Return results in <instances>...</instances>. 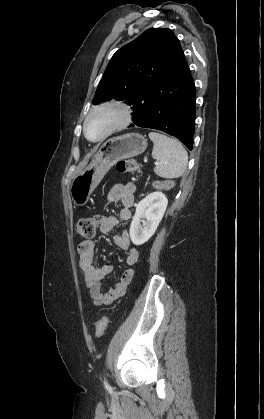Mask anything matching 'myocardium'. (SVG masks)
Listing matches in <instances>:
<instances>
[{
	"label": "myocardium",
	"instance_id": "obj_1",
	"mask_svg": "<svg viewBox=\"0 0 264 419\" xmlns=\"http://www.w3.org/2000/svg\"><path fill=\"white\" fill-rule=\"evenodd\" d=\"M103 111L115 112L118 116L117 120L105 131V133L97 139H91L87 133V125L91 117ZM132 120V110L128 103L120 99H111L103 101L89 111L83 122V133L85 138L92 143L102 142L112 134L127 127Z\"/></svg>",
	"mask_w": 264,
	"mask_h": 419
}]
</instances>
